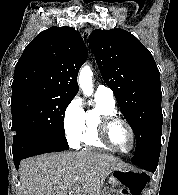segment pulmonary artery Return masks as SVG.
Instances as JSON below:
<instances>
[{
    "mask_svg": "<svg viewBox=\"0 0 178 195\" xmlns=\"http://www.w3.org/2000/svg\"><path fill=\"white\" fill-rule=\"evenodd\" d=\"M95 95L103 97L111 102H115L113 91L105 85H99L96 89Z\"/></svg>",
    "mask_w": 178,
    "mask_h": 195,
    "instance_id": "e3ab8cb5",
    "label": "pulmonary artery"
}]
</instances>
